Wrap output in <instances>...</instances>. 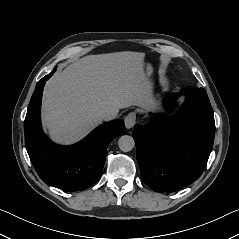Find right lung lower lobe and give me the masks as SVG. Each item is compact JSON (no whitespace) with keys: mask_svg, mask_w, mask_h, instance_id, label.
Instances as JSON below:
<instances>
[{"mask_svg":"<svg viewBox=\"0 0 239 239\" xmlns=\"http://www.w3.org/2000/svg\"><path fill=\"white\" fill-rule=\"evenodd\" d=\"M53 72L37 83L25 118V144L30 160L40 178L66 191H80L101 176L108 144L124 132L123 120L107 122L71 146L52 143L43 133L40 107L45 82Z\"/></svg>","mask_w":239,"mask_h":239,"instance_id":"98d812e1","label":"right lung lower lobe"}]
</instances>
